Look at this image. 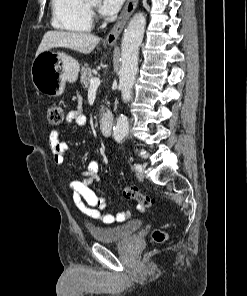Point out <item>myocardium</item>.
<instances>
[{"mask_svg":"<svg viewBox=\"0 0 247 296\" xmlns=\"http://www.w3.org/2000/svg\"><path fill=\"white\" fill-rule=\"evenodd\" d=\"M86 3H87V6H88L89 9L93 8V5L90 4L89 0H86Z\"/></svg>","mask_w":247,"mask_h":296,"instance_id":"myocardium-1","label":"myocardium"}]
</instances>
